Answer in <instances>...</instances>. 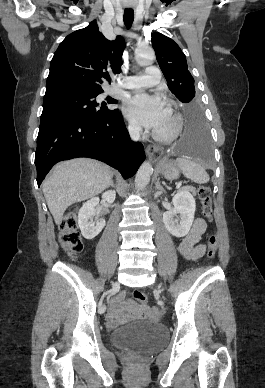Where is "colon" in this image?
<instances>
[{"label": "colon", "instance_id": "obj_1", "mask_svg": "<svg viewBox=\"0 0 265 388\" xmlns=\"http://www.w3.org/2000/svg\"><path fill=\"white\" fill-rule=\"evenodd\" d=\"M198 197L201 203L203 215L212 220L213 207L212 195L208 186H200L198 188ZM60 242L66 252L71 256H76L83 249V242L78 231L77 216L75 212L67 213L60 224ZM218 249V239L215 235H211L208 239V259H213L216 256ZM135 299L140 303L147 301V295L141 290L134 291Z\"/></svg>", "mask_w": 265, "mask_h": 388}]
</instances>
